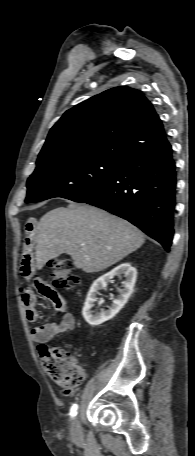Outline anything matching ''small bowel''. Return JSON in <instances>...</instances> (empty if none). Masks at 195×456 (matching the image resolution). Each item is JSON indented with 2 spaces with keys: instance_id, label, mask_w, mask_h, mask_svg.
<instances>
[{
  "instance_id": "c3829d8e",
  "label": "small bowel",
  "mask_w": 195,
  "mask_h": 456,
  "mask_svg": "<svg viewBox=\"0 0 195 456\" xmlns=\"http://www.w3.org/2000/svg\"><path fill=\"white\" fill-rule=\"evenodd\" d=\"M25 241L21 259V274L24 278L29 279L34 271L33 246L36 241L37 223L30 218L25 223ZM36 290L44 297L51 300L55 308L63 313L60 320L46 323L34 327L31 331V337L37 344H44L54 338L56 335L73 330L76 326L74 316L65 312V303L60 295L42 278H36L34 281ZM22 305L25 311V318L28 322H35L38 318L36 309V295L31 289H25L21 295ZM71 391L66 390L64 393L69 394Z\"/></svg>"
}]
</instances>
